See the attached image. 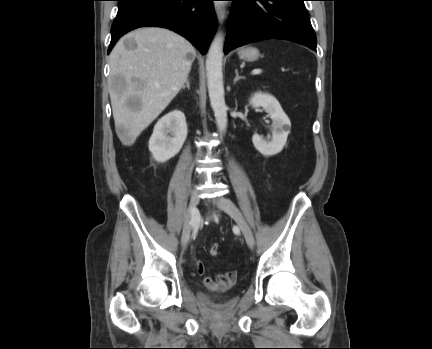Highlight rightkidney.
I'll return each mask as SVG.
<instances>
[{
	"mask_svg": "<svg viewBox=\"0 0 432 349\" xmlns=\"http://www.w3.org/2000/svg\"><path fill=\"white\" fill-rule=\"evenodd\" d=\"M187 137V124L183 112L174 110L156 123L149 140V150L155 161L163 163L181 150Z\"/></svg>",
	"mask_w": 432,
	"mask_h": 349,
	"instance_id": "ca27d5eb",
	"label": "right kidney"
}]
</instances>
